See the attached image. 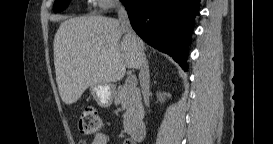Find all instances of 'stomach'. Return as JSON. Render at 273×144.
<instances>
[{
  "label": "stomach",
  "instance_id": "obj_1",
  "mask_svg": "<svg viewBox=\"0 0 273 144\" xmlns=\"http://www.w3.org/2000/svg\"><path fill=\"white\" fill-rule=\"evenodd\" d=\"M90 92L100 107H110L114 99L115 88L110 84H96L90 87Z\"/></svg>",
  "mask_w": 273,
  "mask_h": 144
}]
</instances>
